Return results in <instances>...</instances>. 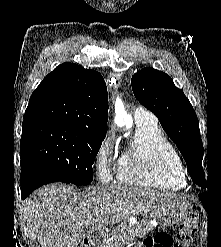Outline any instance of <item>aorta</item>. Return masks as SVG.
I'll return each instance as SVG.
<instances>
[{"label": "aorta", "instance_id": "762f6f07", "mask_svg": "<svg viewBox=\"0 0 221 247\" xmlns=\"http://www.w3.org/2000/svg\"><path fill=\"white\" fill-rule=\"evenodd\" d=\"M115 120L120 126H124L131 120V117L125 111L124 105L120 98L115 101Z\"/></svg>", "mask_w": 221, "mask_h": 247}]
</instances>
